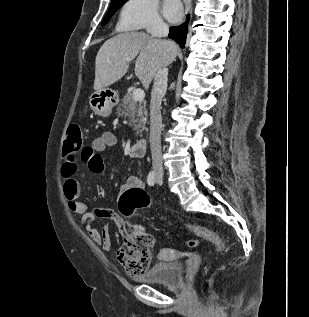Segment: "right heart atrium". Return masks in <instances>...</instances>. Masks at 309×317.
<instances>
[{
	"mask_svg": "<svg viewBox=\"0 0 309 317\" xmlns=\"http://www.w3.org/2000/svg\"><path fill=\"white\" fill-rule=\"evenodd\" d=\"M119 24L126 30H154L164 26L157 0H126Z\"/></svg>",
	"mask_w": 309,
	"mask_h": 317,
	"instance_id": "1",
	"label": "right heart atrium"
}]
</instances>
